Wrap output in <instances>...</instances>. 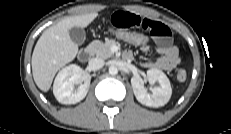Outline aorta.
<instances>
[{
  "instance_id": "762f6f07",
  "label": "aorta",
  "mask_w": 231,
  "mask_h": 134,
  "mask_svg": "<svg viewBox=\"0 0 231 134\" xmlns=\"http://www.w3.org/2000/svg\"><path fill=\"white\" fill-rule=\"evenodd\" d=\"M109 74H111V75H116V74H118V68H117L116 66H111V67L109 68Z\"/></svg>"
}]
</instances>
